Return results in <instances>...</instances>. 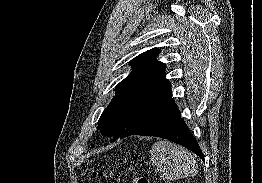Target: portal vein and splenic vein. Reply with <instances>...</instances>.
<instances>
[{"instance_id": "portal-vein-and-splenic-vein-1", "label": "portal vein and splenic vein", "mask_w": 262, "mask_h": 183, "mask_svg": "<svg viewBox=\"0 0 262 183\" xmlns=\"http://www.w3.org/2000/svg\"><path fill=\"white\" fill-rule=\"evenodd\" d=\"M159 172H160V170H159V169H156V170H155V173H159Z\"/></svg>"}]
</instances>
